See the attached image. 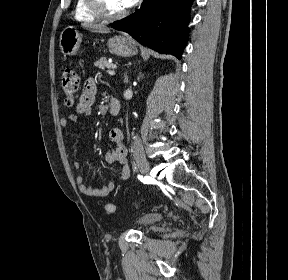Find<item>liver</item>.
Listing matches in <instances>:
<instances>
[{"label": "liver", "instance_id": "liver-1", "mask_svg": "<svg viewBox=\"0 0 288 280\" xmlns=\"http://www.w3.org/2000/svg\"><path fill=\"white\" fill-rule=\"evenodd\" d=\"M84 28H87L93 32H99V33H108L110 30L108 27L101 25V24H89L84 23L82 24Z\"/></svg>", "mask_w": 288, "mask_h": 280}]
</instances>
